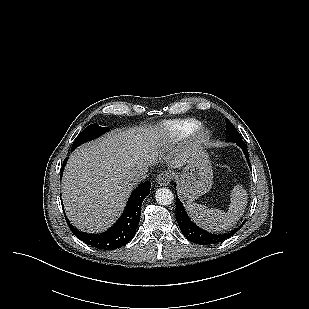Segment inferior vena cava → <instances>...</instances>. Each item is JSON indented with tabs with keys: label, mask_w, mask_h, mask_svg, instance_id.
I'll return each mask as SVG.
<instances>
[{
	"label": "inferior vena cava",
	"mask_w": 309,
	"mask_h": 309,
	"mask_svg": "<svg viewBox=\"0 0 309 309\" xmlns=\"http://www.w3.org/2000/svg\"><path fill=\"white\" fill-rule=\"evenodd\" d=\"M148 173V169H140V170H136L131 174V180L135 183L141 182L142 180H144L147 176Z\"/></svg>",
	"instance_id": "inferior-vena-cava-1"
}]
</instances>
